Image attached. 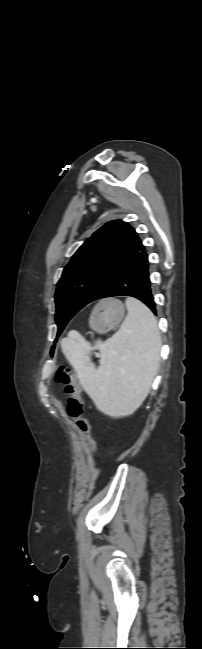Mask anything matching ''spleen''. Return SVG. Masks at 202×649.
<instances>
[{
	"label": "spleen",
	"instance_id": "3e777b00",
	"mask_svg": "<svg viewBox=\"0 0 202 649\" xmlns=\"http://www.w3.org/2000/svg\"><path fill=\"white\" fill-rule=\"evenodd\" d=\"M127 316L107 341L94 345L72 331L61 341L62 352L85 392L103 413L113 417L135 412L148 395L159 365L161 336L151 310L135 298L126 299ZM101 352L100 366L90 362Z\"/></svg>",
	"mask_w": 202,
	"mask_h": 649
}]
</instances>
